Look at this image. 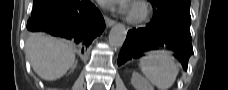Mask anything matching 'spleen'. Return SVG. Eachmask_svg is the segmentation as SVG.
Instances as JSON below:
<instances>
[{
    "label": "spleen",
    "instance_id": "obj_1",
    "mask_svg": "<svg viewBox=\"0 0 228 90\" xmlns=\"http://www.w3.org/2000/svg\"><path fill=\"white\" fill-rule=\"evenodd\" d=\"M145 77L159 90H168L175 82L179 69L168 50L150 52L140 60Z\"/></svg>",
    "mask_w": 228,
    "mask_h": 90
}]
</instances>
